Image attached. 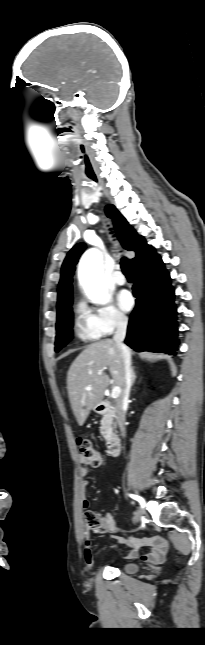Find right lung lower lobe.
I'll use <instances>...</instances> for the list:
<instances>
[{"label":"right lung lower lobe","instance_id":"obj_1","mask_svg":"<svg viewBox=\"0 0 205 645\" xmlns=\"http://www.w3.org/2000/svg\"><path fill=\"white\" fill-rule=\"evenodd\" d=\"M134 273L136 306L130 316L125 343L139 352L175 355L179 342L177 307L170 274L158 255L135 266Z\"/></svg>","mask_w":205,"mask_h":645}]
</instances>
